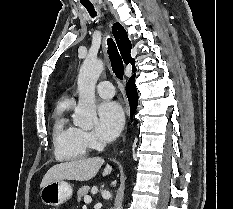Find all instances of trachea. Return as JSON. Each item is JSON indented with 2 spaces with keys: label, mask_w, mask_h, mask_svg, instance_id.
Returning a JSON list of instances; mask_svg holds the SVG:
<instances>
[{
  "label": "trachea",
  "mask_w": 233,
  "mask_h": 209,
  "mask_svg": "<svg viewBox=\"0 0 233 209\" xmlns=\"http://www.w3.org/2000/svg\"><path fill=\"white\" fill-rule=\"evenodd\" d=\"M92 17L96 16V11L93 6H85ZM108 54L111 60L112 70L118 79H123L124 65L121 56L118 52L115 42L109 38L107 40Z\"/></svg>",
  "instance_id": "1"
}]
</instances>
